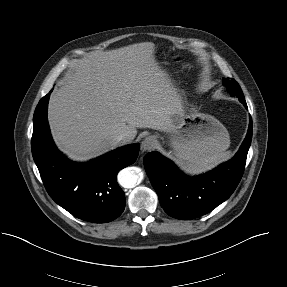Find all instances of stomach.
<instances>
[{
  "instance_id": "0dacf381",
  "label": "stomach",
  "mask_w": 287,
  "mask_h": 287,
  "mask_svg": "<svg viewBox=\"0 0 287 287\" xmlns=\"http://www.w3.org/2000/svg\"><path fill=\"white\" fill-rule=\"evenodd\" d=\"M168 142L176 160L189 166L225 151L230 145V137L214 116L201 113L195 105L187 104L180 121L168 132Z\"/></svg>"
}]
</instances>
